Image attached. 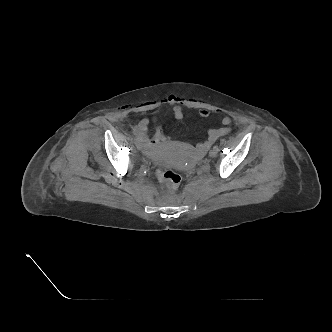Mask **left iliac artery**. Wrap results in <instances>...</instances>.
I'll list each match as a JSON object with an SVG mask.
<instances>
[{
    "mask_svg": "<svg viewBox=\"0 0 332 332\" xmlns=\"http://www.w3.org/2000/svg\"><path fill=\"white\" fill-rule=\"evenodd\" d=\"M213 149L216 150V151L218 152V151H219V147H218V145H215V146L213 147Z\"/></svg>",
    "mask_w": 332,
    "mask_h": 332,
    "instance_id": "1",
    "label": "left iliac artery"
}]
</instances>
